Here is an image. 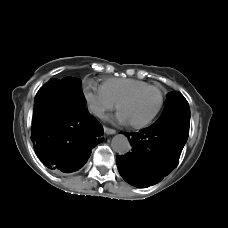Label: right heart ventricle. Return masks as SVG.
<instances>
[{
  "instance_id": "e07e8e85",
  "label": "right heart ventricle",
  "mask_w": 228,
  "mask_h": 228,
  "mask_svg": "<svg viewBox=\"0 0 228 228\" xmlns=\"http://www.w3.org/2000/svg\"><path fill=\"white\" fill-rule=\"evenodd\" d=\"M150 86V84L136 79L110 78L103 82L101 89L117 105L125 96Z\"/></svg>"
}]
</instances>
